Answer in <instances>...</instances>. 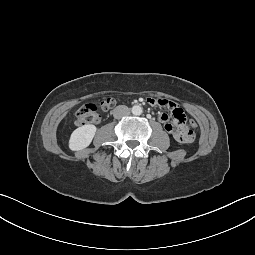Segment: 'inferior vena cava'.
<instances>
[{"mask_svg":"<svg viewBox=\"0 0 255 255\" xmlns=\"http://www.w3.org/2000/svg\"><path fill=\"white\" fill-rule=\"evenodd\" d=\"M130 114V109L125 105H119L113 110V116L116 119L128 116Z\"/></svg>","mask_w":255,"mask_h":255,"instance_id":"602c4592","label":"inferior vena cava"}]
</instances>
